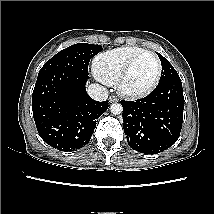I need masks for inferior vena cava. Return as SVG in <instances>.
I'll list each match as a JSON object with an SVG mask.
<instances>
[{
	"label": "inferior vena cava",
	"mask_w": 214,
	"mask_h": 214,
	"mask_svg": "<svg viewBox=\"0 0 214 214\" xmlns=\"http://www.w3.org/2000/svg\"><path fill=\"white\" fill-rule=\"evenodd\" d=\"M89 96L96 101H104L108 98V90L100 84H91L87 88Z\"/></svg>",
	"instance_id": "1"
}]
</instances>
